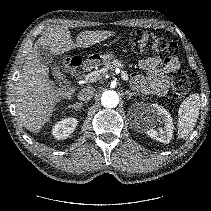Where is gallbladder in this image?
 Here are the masks:
<instances>
[{
  "label": "gallbladder",
  "instance_id": "obj_1",
  "mask_svg": "<svg viewBox=\"0 0 211 211\" xmlns=\"http://www.w3.org/2000/svg\"><path fill=\"white\" fill-rule=\"evenodd\" d=\"M38 59L45 65H52L54 61V56L52 51L46 46H40L37 48ZM53 75L56 77L57 81L62 83L65 82V76L62 73L60 66L53 65L51 67Z\"/></svg>",
  "mask_w": 211,
  "mask_h": 211
}]
</instances>
